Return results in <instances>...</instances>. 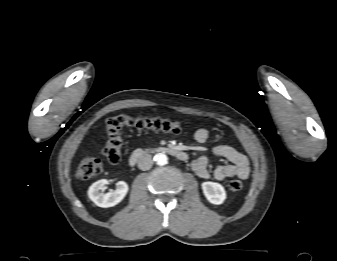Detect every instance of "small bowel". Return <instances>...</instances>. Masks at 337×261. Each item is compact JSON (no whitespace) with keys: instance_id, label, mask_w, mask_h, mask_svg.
Masks as SVG:
<instances>
[{"instance_id":"c3829d8e","label":"small bowel","mask_w":337,"mask_h":261,"mask_svg":"<svg viewBox=\"0 0 337 261\" xmlns=\"http://www.w3.org/2000/svg\"><path fill=\"white\" fill-rule=\"evenodd\" d=\"M195 140L204 143L209 138V131L205 128L198 129L194 134ZM210 157H220L228 164L218 165L213 171L208 167ZM193 171L202 179L213 177L218 181L226 178L238 177L247 179L250 174V164L246 155L228 145H218L209 149L205 154L195 158L191 163Z\"/></svg>"}]
</instances>
